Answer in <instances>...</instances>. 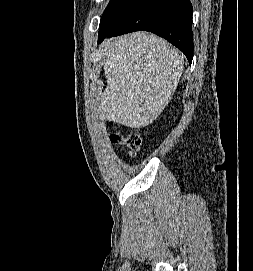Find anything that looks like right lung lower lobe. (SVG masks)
<instances>
[{
	"label": "right lung lower lobe",
	"mask_w": 253,
	"mask_h": 271,
	"mask_svg": "<svg viewBox=\"0 0 253 271\" xmlns=\"http://www.w3.org/2000/svg\"><path fill=\"white\" fill-rule=\"evenodd\" d=\"M192 14L190 0H135L112 29L99 32L98 43L106 37L149 31L180 49L191 64Z\"/></svg>",
	"instance_id": "right-lung-lower-lobe-1"
}]
</instances>
